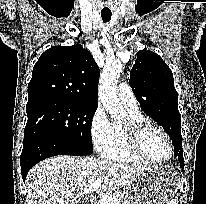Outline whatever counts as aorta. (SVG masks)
Wrapping results in <instances>:
<instances>
[{
    "label": "aorta",
    "instance_id": "762f6f07",
    "mask_svg": "<svg viewBox=\"0 0 206 204\" xmlns=\"http://www.w3.org/2000/svg\"><path fill=\"white\" fill-rule=\"evenodd\" d=\"M122 71L118 60L106 62L99 80V99L112 118L120 119L125 110L117 96V82Z\"/></svg>",
    "mask_w": 206,
    "mask_h": 204
}]
</instances>
